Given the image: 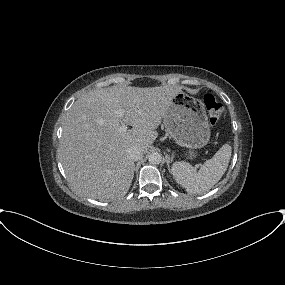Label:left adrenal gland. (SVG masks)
I'll list each match as a JSON object with an SVG mask.
<instances>
[{"label":"left adrenal gland","instance_id":"obj_1","mask_svg":"<svg viewBox=\"0 0 285 285\" xmlns=\"http://www.w3.org/2000/svg\"><path fill=\"white\" fill-rule=\"evenodd\" d=\"M170 161H171V158L169 155H166V163H167V167H168V170L170 171Z\"/></svg>","mask_w":285,"mask_h":285}]
</instances>
